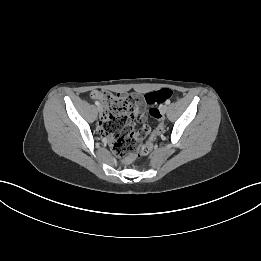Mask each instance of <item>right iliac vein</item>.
<instances>
[{
    "instance_id": "obj_1",
    "label": "right iliac vein",
    "mask_w": 261,
    "mask_h": 261,
    "mask_svg": "<svg viewBox=\"0 0 261 261\" xmlns=\"http://www.w3.org/2000/svg\"><path fill=\"white\" fill-rule=\"evenodd\" d=\"M98 111L101 113L103 111V107L101 105L98 106Z\"/></svg>"
}]
</instances>
